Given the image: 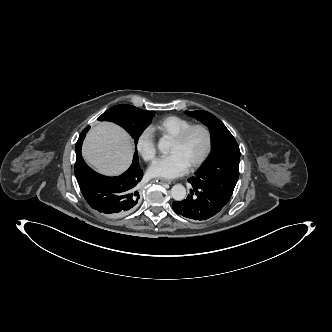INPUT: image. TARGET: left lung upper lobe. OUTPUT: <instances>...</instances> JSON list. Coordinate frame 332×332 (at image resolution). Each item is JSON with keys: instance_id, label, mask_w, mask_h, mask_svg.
Instances as JSON below:
<instances>
[{"instance_id": "5c2ea615", "label": "left lung upper lobe", "mask_w": 332, "mask_h": 332, "mask_svg": "<svg viewBox=\"0 0 332 332\" xmlns=\"http://www.w3.org/2000/svg\"><path fill=\"white\" fill-rule=\"evenodd\" d=\"M204 123L211 132L212 153L192 179L230 200L239 177V146L226 126L207 111H185Z\"/></svg>"}]
</instances>
